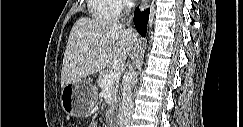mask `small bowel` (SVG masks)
<instances>
[{"instance_id": "small-bowel-1", "label": "small bowel", "mask_w": 243, "mask_h": 127, "mask_svg": "<svg viewBox=\"0 0 243 127\" xmlns=\"http://www.w3.org/2000/svg\"><path fill=\"white\" fill-rule=\"evenodd\" d=\"M95 126H96L95 124L90 125V127H95Z\"/></svg>"}]
</instances>
